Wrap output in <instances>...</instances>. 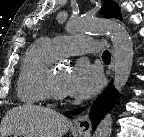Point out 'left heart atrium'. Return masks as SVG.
<instances>
[{
	"instance_id": "39dd6f15",
	"label": "left heart atrium",
	"mask_w": 144,
	"mask_h": 137,
	"mask_svg": "<svg viewBox=\"0 0 144 137\" xmlns=\"http://www.w3.org/2000/svg\"><path fill=\"white\" fill-rule=\"evenodd\" d=\"M101 72L97 67L87 62H79L68 75L65 82V92L78 99L91 97L100 87Z\"/></svg>"
}]
</instances>
